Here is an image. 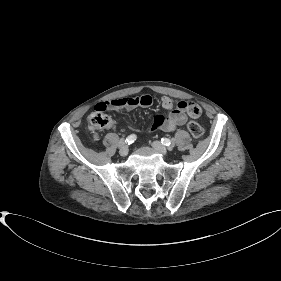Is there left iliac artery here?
<instances>
[{"mask_svg":"<svg viewBox=\"0 0 281 281\" xmlns=\"http://www.w3.org/2000/svg\"><path fill=\"white\" fill-rule=\"evenodd\" d=\"M161 143L168 146V147H172L173 146V142L172 140L168 139V138H162L161 139Z\"/></svg>","mask_w":281,"mask_h":281,"instance_id":"44dca946","label":"left iliac artery"}]
</instances>
